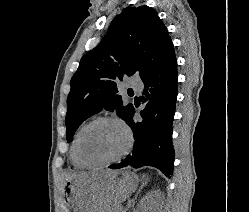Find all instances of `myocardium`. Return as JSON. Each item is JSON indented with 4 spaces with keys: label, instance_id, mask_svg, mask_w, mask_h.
<instances>
[{
    "label": "myocardium",
    "instance_id": "1",
    "mask_svg": "<svg viewBox=\"0 0 249 212\" xmlns=\"http://www.w3.org/2000/svg\"><path fill=\"white\" fill-rule=\"evenodd\" d=\"M102 123H113V124L118 125L125 133L126 145L118 156H116L110 160H107L104 162H98V163L87 162L81 154V143H82L84 137L86 136V134L93 127H95L99 124H102ZM133 142H134V137H133L132 130L124 120H122L118 117H114V116H102V117H98V118L92 120L91 122L86 124L84 126V128L81 130L80 134L77 137L76 143H75V156H76V159L79 162V164L82 165L83 167L94 168V169L95 168H104V167L111 166V165L121 161L123 158H125L128 155V153L130 152V150L133 146Z\"/></svg>",
    "mask_w": 249,
    "mask_h": 212
}]
</instances>
